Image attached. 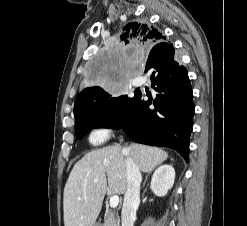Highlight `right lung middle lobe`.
I'll use <instances>...</instances> for the list:
<instances>
[{"label": "right lung middle lobe", "instance_id": "right-lung-middle-lobe-1", "mask_svg": "<svg viewBox=\"0 0 247 226\" xmlns=\"http://www.w3.org/2000/svg\"><path fill=\"white\" fill-rule=\"evenodd\" d=\"M128 98L124 94L112 95L101 88L95 94L79 103L74 113L76 138L81 139L92 128H96L105 122L111 114L126 103Z\"/></svg>", "mask_w": 247, "mask_h": 226}]
</instances>
